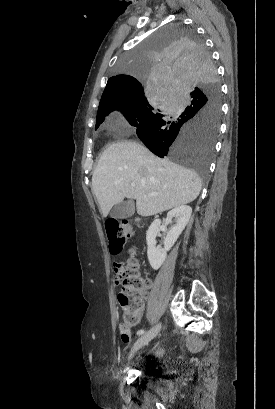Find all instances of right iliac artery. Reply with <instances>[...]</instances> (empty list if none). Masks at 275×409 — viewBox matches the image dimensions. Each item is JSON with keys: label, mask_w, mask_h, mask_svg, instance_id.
I'll use <instances>...</instances> for the list:
<instances>
[{"label": "right iliac artery", "mask_w": 275, "mask_h": 409, "mask_svg": "<svg viewBox=\"0 0 275 409\" xmlns=\"http://www.w3.org/2000/svg\"><path fill=\"white\" fill-rule=\"evenodd\" d=\"M144 333V330H138L137 335H142Z\"/></svg>", "instance_id": "obj_1"}]
</instances>
